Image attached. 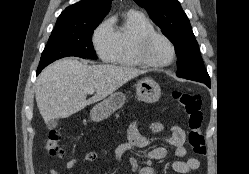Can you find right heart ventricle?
I'll list each match as a JSON object with an SVG mask.
<instances>
[{"mask_svg": "<svg viewBox=\"0 0 249 174\" xmlns=\"http://www.w3.org/2000/svg\"><path fill=\"white\" fill-rule=\"evenodd\" d=\"M116 37V52L110 61L126 67L147 66L140 61L135 53L138 39L145 33L155 31L153 24L142 13L128 11L118 26H112Z\"/></svg>", "mask_w": 249, "mask_h": 174, "instance_id": "e07e8e85", "label": "right heart ventricle"}]
</instances>
